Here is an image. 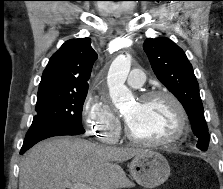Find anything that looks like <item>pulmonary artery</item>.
Instances as JSON below:
<instances>
[{"instance_id":"e3ab8cb5","label":"pulmonary artery","mask_w":223,"mask_h":189,"mask_svg":"<svg viewBox=\"0 0 223 189\" xmlns=\"http://www.w3.org/2000/svg\"><path fill=\"white\" fill-rule=\"evenodd\" d=\"M144 82L145 74L141 69H133L127 78V84L134 88L141 87Z\"/></svg>"}]
</instances>
